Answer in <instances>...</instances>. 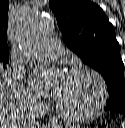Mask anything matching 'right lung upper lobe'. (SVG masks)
Returning <instances> with one entry per match:
<instances>
[{
    "label": "right lung upper lobe",
    "mask_w": 125,
    "mask_h": 128,
    "mask_svg": "<svg viewBox=\"0 0 125 128\" xmlns=\"http://www.w3.org/2000/svg\"><path fill=\"white\" fill-rule=\"evenodd\" d=\"M8 0H0V58L9 59L7 45Z\"/></svg>",
    "instance_id": "right-lung-upper-lobe-1"
}]
</instances>
